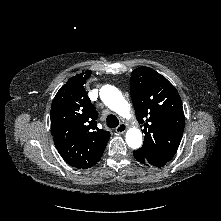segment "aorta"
I'll return each mask as SVG.
<instances>
[{"instance_id": "aorta-1", "label": "aorta", "mask_w": 221, "mask_h": 221, "mask_svg": "<svg viewBox=\"0 0 221 221\" xmlns=\"http://www.w3.org/2000/svg\"><path fill=\"white\" fill-rule=\"evenodd\" d=\"M100 98L112 111L124 118L131 117V108L122 93L114 86L105 85L100 89ZM126 142L130 148L137 149L142 145L141 131L135 127L126 132Z\"/></svg>"}]
</instances>
